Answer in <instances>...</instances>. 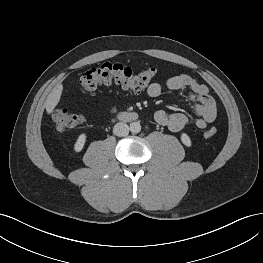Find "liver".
Segmentation results:
<instances>
[{"label": "liver", "mask_w": 263, "mask_h": 263, "mask_svg": "<svg viewBox=\"0 0 263 263\" xmlns=\"http://www.w3.org/2000/svg\"><path fill=\"white\" fill-rule=\"evenodd\" d=\"M62 91H63V85L59 84L48 95L45 101V107L48 114L52 113L54 108L59 103L61 99Z\"/></svg>", "instance_id": "6515ba94"}]
</instances>
